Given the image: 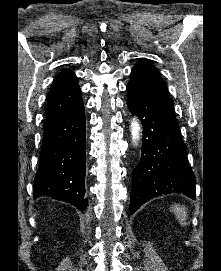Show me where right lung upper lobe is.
Returning a JSON list of instances; mask_svg holds the SVG:
<instances>
[{"label":"right lung upper lobe","instance_id":"obj_1","mask_svg":"<svg viewBox=\"0 0 221 271\" xmlns=\"http://www.w3.org/2000/svg\"><path fill=\"white\" fill-rule=\"evenodd\" d=\"M81 101L77 78L72 71L65 69L55 77L47 95L46 116L73 108Z\"/></svg>","mask_w":221,"mask_h":271}]
</instances>
